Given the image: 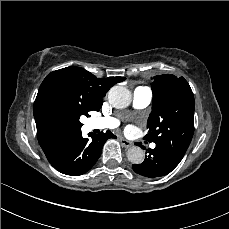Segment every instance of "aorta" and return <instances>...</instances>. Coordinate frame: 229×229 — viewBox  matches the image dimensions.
I'll return each instance as SVG.
<instances>
[{"mask_svg": "<svg viewBox=\"0 0 229 229\" xmlns=\"http://www.w3.org/2000/svg\"><path fill=\"white\" fill-rule=\"evenodd\" d=\"M131 100V92L126 87L116 85L109 90L108 101L114 108H126ZM127 158L133 164H141L145 158L144 150L139 146H132L127 151Z\"/></svg>", "mask_w": 229, "mask_h": 229, "instance_id": "aorta-1", "label": "aorta"}]
</instances>
